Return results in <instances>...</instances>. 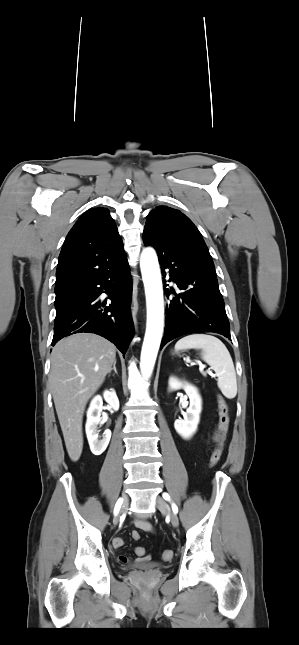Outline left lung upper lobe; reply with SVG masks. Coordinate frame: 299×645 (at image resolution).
<instances>
[{
	"instance_id": "obj_1",
	"label": "left lung upper lobe",
	"mask_w": 299,
	"mask_h": 645,
	"mask_svg": "<svg viewBox=\"0 0 299 645\" xmlns=\"http://www.w3.org/2000/svg\"><path fill=\"white\" fill-rule=\"evenodd\" d=\"M147 217L143 239H165L182 236L197 241L207 248L196 226L179 210L167 206H158Z\"/></svg>"
}]
</instances>
